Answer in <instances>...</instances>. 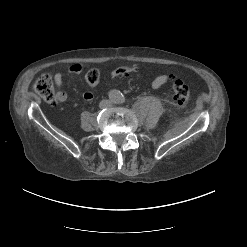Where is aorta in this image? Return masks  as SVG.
Instances as JSON below:
<instances>
[{
	"mask_svg": "<svg viewBox=\"0 0 247 247\" xmlns=\"http://www.w3.org/2000/svg\"><path fill=\"white\" fill-rule=\"evenodd\" d=\"M109 98L114 103H120L123 100V94L119 90L114 89L109 92Z\"/></svg>",
	"mask_w": 247,
	"mask_h": 247,
	"instance_id": "1",
	"label": "aorta"
}]
</instances>
